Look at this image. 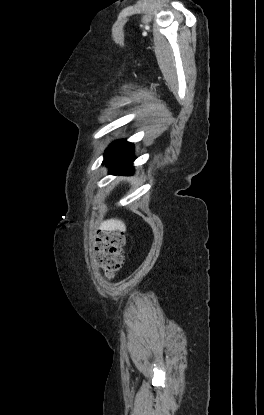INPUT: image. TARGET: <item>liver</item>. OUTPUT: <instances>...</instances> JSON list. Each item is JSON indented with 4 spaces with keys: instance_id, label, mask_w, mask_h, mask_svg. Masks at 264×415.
<instances>
[{
    "instance_id": "6515ba94",
    "label": "liver",
    "mask_w": 264,
    "mask_h": 415,
    "mask_svg": "<svg viewBox=\"0 0 264 415\" xmlns=\"http://www.w3.org/2000/svg\"><path fill=\"white\" fill-rule=\"evenodd\" d=\"M100 228L106 231H125L126 226L122 220L119 219H108L101 223Z\"/></svg>"
}]
</instances>
